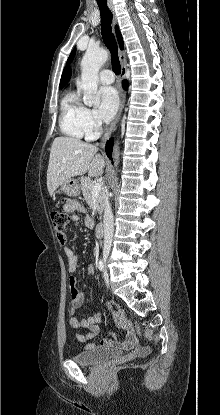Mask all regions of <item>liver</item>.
I'll use <instances>...</instances> for the list:
<instances>
[{"label":"liver","instance_id":"obj_1","mask_svg":"<svg viewBox=\"0 0 220 415\" xmlns=\"http://www.w3.org/2000/svg\"><path fill=\"white\" fill-rule=\"evenodd\" d=\"M98 148L73 137L54 139L47 170V188L50 196L71 177L83 175L100 176L105 167L104 157Z\"/></svg>","mask_w":220,"mask_h":415}]
</instances>
